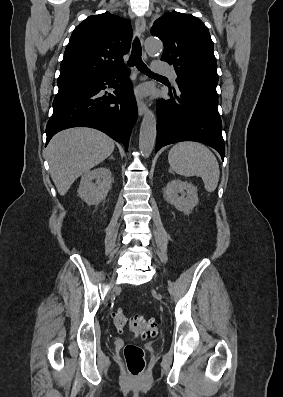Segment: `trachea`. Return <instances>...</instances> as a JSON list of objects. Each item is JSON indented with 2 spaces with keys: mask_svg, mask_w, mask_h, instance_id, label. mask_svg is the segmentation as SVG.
I'll return each instance as SVG.
<instances>
[{
  "mask_svg": "<svg viewBox=\"0 0 283 397\" xmlns=\"http://www.w3.org/2000/svg\"><path fill=\"white\" fill-rule=\"evenodd\" d=\"M142 48L139 39L136 37L132 44V53L128 61L129 66H136L137 69L148 76L152 77H163L161 75L153 73L142 61L141 58Z\"/></svg>",
  "mask_w": 283,
  "mask_h": 397,
  "instance_id": "3493384b",
  "label": "trachea"
}]
</instances>
